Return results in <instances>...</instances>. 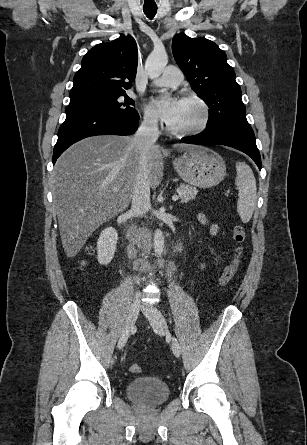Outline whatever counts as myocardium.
I'll return each instance as SVG.
<instances>
[{
  "label": "myocardium",
  "mask_w": 307,
  "mask_h": 445,
  "mask_svg": "<svg viewBox=\"0 0 307 445\" xmlns=\"http://www.w3.org/2000/svg\"><path fill=\"white\" fill-rule=\"evenodd\" d=\"M184 101H189L196 104L201 110L200 120L193 126L183 129H173L168 125L167 130L180 136H192L203 132L209 125L212 119V111L208 103L196 94H187L183 98Z\"/></svg>",
  "instance_id": "myocardium-1"
}]
</instances>
